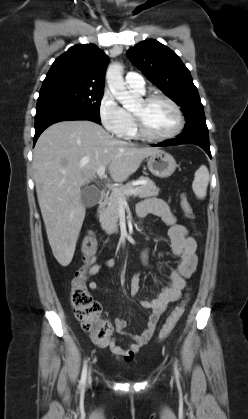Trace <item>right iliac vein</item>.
Returning <instances> with one entry per match:
<instances>
[{
	"label": "right iliac vein",
	"instance_id": "obj_1",
	"mask_svg": "<svg viewBox=\"0 0 248 419\" xmlns=\"http://www.w3.org/2000/svg\"><path fill=\"white\" fill-rule=\"evenodd\" d=\"M89 379H90V372H89V376H88V381H89Z\"/></svg>",
	"mask_w": 248,
	"mask_h": 419
}]
</instances>
